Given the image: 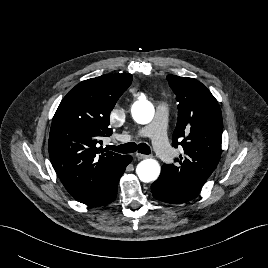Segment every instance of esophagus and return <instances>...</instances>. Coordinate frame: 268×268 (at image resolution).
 Masks as SVG:
<instances>
[{
  "label": "esophagus",
  "instance_id": "obj_1",
  "mask_svg": "<svg viewBox=\"0 0 268 268\" xmlns=\"http://www.w3.org/2000/svg\"><path fill=\"white\" fill-rule=\"evenodd\" d=\"M136 157H137L138 159H146V158L149 157V155L137 153V154H136Z\"/></svg>",
  "mask_w": 268,
  "mask_h": 268
}]
</instances>
